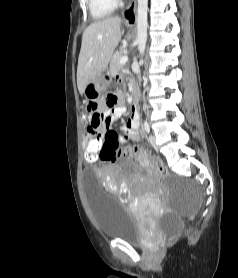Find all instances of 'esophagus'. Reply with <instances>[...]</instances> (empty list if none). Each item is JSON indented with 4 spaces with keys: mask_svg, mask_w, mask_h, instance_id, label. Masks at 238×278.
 Here are the masks:
<instances>
[{
    "mask_svg": "<svg viewBox=\"0 0 238 278\" xmlns=\"http://www.w3.org/2000/svg\"><path fill=\"white\" fill-rule=\"evenodd\" d=\"M137 0H130L128 6L123 13V19L126 24H133L136 20Z\"/></svg>",
    "mask_w": 238,
    "mask_h": 278,
    "instance_id": "esophagus-1",
    "label": "esophagus"
}]
</instances>
